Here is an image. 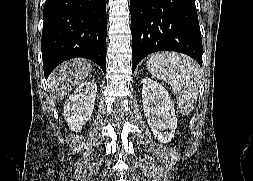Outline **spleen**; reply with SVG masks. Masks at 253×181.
Segmentation results:
<instances>
[{"mask_svg": "<svg viewBox=\"0 0 253 181\" xmlns=\"http://www.w3.org/2000/svg\"><path fill=\"white\" fill-rule=\"evenodd\" d=\"M147 68L153 76L171 85L180 111L184 115L189 114L198 97L199 65L186 55L162 52L150 57Z\"/></svg>", "mask_w": 253, "mask_h": 181, "instance_id": "1", "label": "spleen"}]
</instances>
